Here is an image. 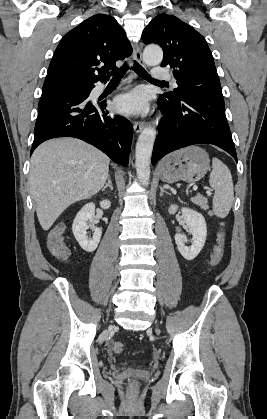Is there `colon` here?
<instances>
[{"label":"colon","mask_w":267,"mask_h":419,"mask_svg":"<svg viewBox=\"0 0 267 419\" xmlns=\"http://www.w3.org/2000/svg\"><path fill=\"white\" fill-rule=\"evenodd\" d=\"M225 230L222 227L218 234L216 243L213 247L212 254L210 256V266L216 267L223 257L224 245H225ZM48 249L50 252L60 260H66L70 255V250L64 242V226L57 225L51 230L47 240ZM123 343L116 341L112 345V349L115 353H120L123 350ZM130 385L132 388L136 387V381H131Z\"/></svg>","instance_id":"colon-1"}]
</instances>
